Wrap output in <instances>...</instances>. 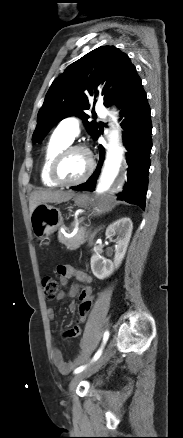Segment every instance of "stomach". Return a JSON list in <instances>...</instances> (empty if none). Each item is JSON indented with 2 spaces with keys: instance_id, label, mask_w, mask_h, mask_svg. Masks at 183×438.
Segmentation results:
<instances>
[{
  "instance_id": "stomach-1",
  "label": "stomach",
  "mask_w": 183,
  "mask_h": 438,
  "mask_svg": "<svg viewBox=\"0 0 183 438\" xmlns=\"http://www.w3.org/2000/svg\"><path fill=\"white\" fill-rule=\"evenodd\" d=\"M75 205L86 206L89 197L85 194H78L73 198ZM31 228L34 235L40 240L49 239L63 223L60 210L47 203L38 205L30 216Z\"/></svg>"
}]
</instances>
